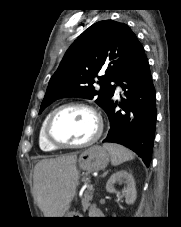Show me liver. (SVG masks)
I'll return each mask as SVG.
<instances>
[{"label":"liver","mask_w":181,"mask_h":227,"mask_svg":"<svg viewBox=\"0 0 181 227\" xmlns=\"http://www.w3.org/2000/svg\"><path fill=\"white\" fill-rule=\"evenodd\" d=\"M77 155L39 161L34 168V190L45 217H63L79 184Z\"/></svg>","instance_id":"obj_1"}]
</instances>
